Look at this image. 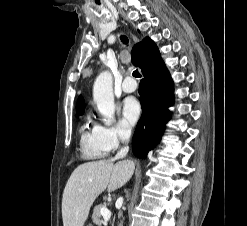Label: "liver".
Returning a JSON list of instances; mask_svg holds the SVG:
<instances>
[{
	"instance_id": "liver-1",
	"label": "liver",
	"mask_w": 247,
	"mask_h": 226,
	"mask_svg": "<svg viewBox=\"0 0 247 226\" xmlns=\"http://www.w3.org/2000/svg\"><path fill=\"white\" fill-rule=\"evenodd\" d=\"M98 160L79 165L67 181L62 198L63 226H83L95 199L124 186L134 172L131 161Z\"/></svg>"
}]
</instances>
